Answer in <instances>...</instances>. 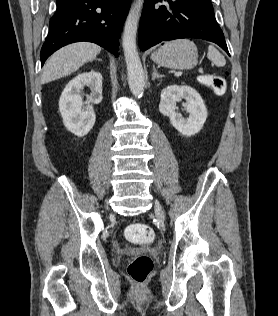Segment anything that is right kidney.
Here are the masks:
<instances>
[{
    "instance_id": "1",
    "label": "right kidney",
    "mask_w": 278,
    "mask_h": 316,
    "mask_svg": "<svg viewBox=\"0 0 278 316\" xmlns=\"http://www.w3.org/2000/svg\"><path fill=\"white\" fill-rule=\"evenodd\" d=\"M87 86L91 89L89 101L98 104L102 101V75L95 70L77 75L64 88L60 100L59 110L65 127L78 137L89 133L93 128L96 116L93 106H84L81 90Z\"/></svg>"
}]
</instances>
